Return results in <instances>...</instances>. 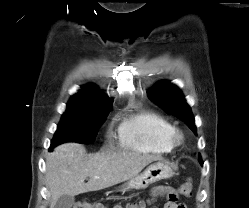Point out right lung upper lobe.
<instances>
[{
    "instance_id": "right-lung-upper-lobe-1",
    "label": "right lung upper lobe",
    "mask_w": 249,
    "mask_h": 208,
    "mask_svg": "<svg viewBox=\"0 0 249 208\" xmlns=\"http://www.w3.org/2000/svg\"><path fill=\"white\" fill-rule=\"evenodd\" d=\"M112 104V98H109L107 95L103 94L95 85L89 84L83 86L79 93L72 96L67 104V107L110 110Z\"/></svg>"
}]
</instances>
